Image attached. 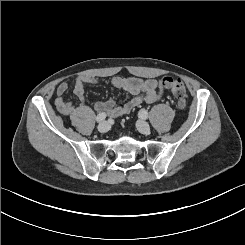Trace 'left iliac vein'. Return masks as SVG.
<instances>
[{
	"instance_id": "4c4485c4",
	"label": "left iliac vein",
	"mask_w": 245,
	"mask_h": 245,
	"mask_svg": "<svg viewBox=\"0 0 245 245\" xmlns=\"http://www.w3.org/2000/svg\"><path fill=\"white\" fill-rule=\"evenodd\" d=\"M137 128H138V130L141 132V133H143V134H149V132H150V127H149V125H148V123L147 122H145L144 120H139L138 122H137Z\"/></svg>"
}]
</instances>
